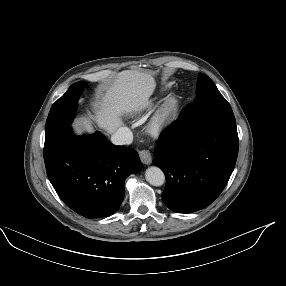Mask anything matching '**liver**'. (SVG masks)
Returning a JSON list of instances; mask_svg holds the SVG:
<instances>
[{"label": "liver", "mask_w": 286, "mask_h": 286, "mask_svg": "<svg viewBox=\"0 0 286 286\" xmlns=\"http://www.w3.org/2000/svg\"><path fill=\"white\" fill-rule=\"evenodd\" d=\"M155 87V80L149 71L135 69L118 73L114 84L102 97L96 118L99 127L114 133L122 125L119 115L144 109L151 104L149 98ZM75 126L77 133L92 129L86 119L79 120Z\"/></svg>", "instance_id": "6515ba94"}]
</instances>
